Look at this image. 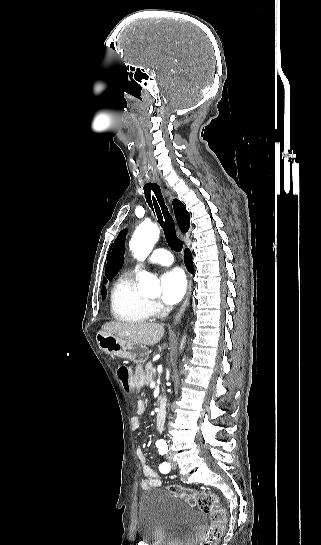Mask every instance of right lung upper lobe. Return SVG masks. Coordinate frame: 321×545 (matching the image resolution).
Returning a JSON list of instances; mask_svg holds the SVG:
<instances>
[{
	"mask_svg": "<svg viewBox=\"0 0 321 545\" xmlns=\"http://www.w3.org/2000/svg\"><path fill=\"white\" fill-rule=\"evenodd\" d=\"M173 208L179 228L182 232H187L190 226V215L185 206L177 199L173 200ZM106 282V279H104Z\"/></svg>",
	"mask_w": 321,
	"mask_h": 545,
	"instance_id": "obj_1",
	"label": "right lung upper lobe"
}]
</instances>
